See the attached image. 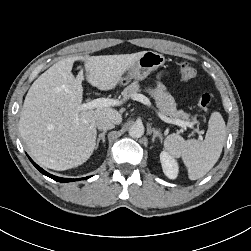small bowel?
Wrapping results in <instances>:
<instances>
[{
  "instance_id": "obj_1",
  "label": "small bowel",
  "mask_w": 251,
  "mask_h": 251,
  "mask_svg": "<svg viewBox=\"0 0 251 251\" xmlns=\"http://www.w3.org/2000/svg\"><path fill=\"white\" fill-rule=\"evenodd\" d=\"M158 88L162 89V84L161 83L158 84Z\"/></svg>"
}]
</instances>
